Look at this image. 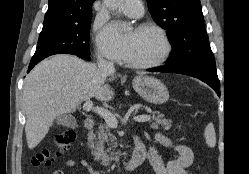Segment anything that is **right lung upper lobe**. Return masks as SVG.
Returning a JSON list of instances; mask_svg holds the SVG:
<instances>
[{
  "label": "right lung upper lobe",
  "mask_w": 249,
  "mask_h": 174,
  "mask_svg": "<svg viewBox=\"0 0 249 174\" xmlns=\"http://www.w3.org/2000/svg\"><path fill=\"white\" fill-rule=\"evenodd\" d=\"M95 0H49L43 29L80 23L92 18Z\"/></svg>",
  "instance_id": "cb5924a9"
}]
</instances>
